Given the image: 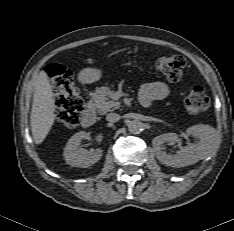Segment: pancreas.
Wrapping results in <instances>:
<instances>
[{
    "mask_svg": "<svg viewBox=\"0 0 234 231\" xmlns=\"http://www.w3.org/2000/svg\"><path fill=\"white\" fill-rule=\"evenodd\" d=\"M113 92L107 86L95 90L92 95V106L101 114L118 109L120 103L110 100Z\"/></svg>",
    "mask_w": 234,
    "mask_h": 231,
    "instance_id": "pancreas-1",
    "label": "pancreas"
}]
</instances>
